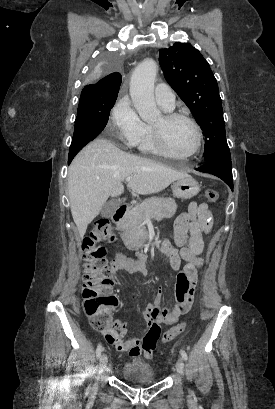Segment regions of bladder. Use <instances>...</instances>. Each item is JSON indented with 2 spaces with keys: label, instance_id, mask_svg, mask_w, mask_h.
Returning <instances> with one entry per match:
<instances>
[{
  "label": "bladder",
  "instance_id": "bladder-1",
  "mask_svg": "<svg viewBox=\"0 0 275 409\" xmlns=\"http://www.w3.org/2000/svg\"><path fill=\"white\" fill-rule=\"evenodd\" d=\"M122 379L130 385H149L157 382L152 366L144 361H128L120 370Z\"/></svg>",
  "mask_w": 275,
  "mask_h": 409
}]
</instances>
